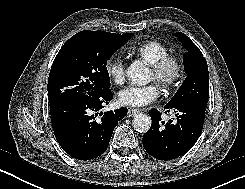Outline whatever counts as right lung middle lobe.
<instances>
[{"label":"right lung middle lobe","mask_w":245,"mask_h":189,"mask_svg":"<svg viewBox=\"0 0 245 189\" xmlns=\"http://www.w3.org/2000/svg\"><path fill=\"white\" fill-rule=\"evenodd\" d=\"M132 36L86 30L71 37L52 64L48 79L49 102L91 96L100 88H109L107 60Z\"/></svg>","instance_id":"1"}]
</instances>
